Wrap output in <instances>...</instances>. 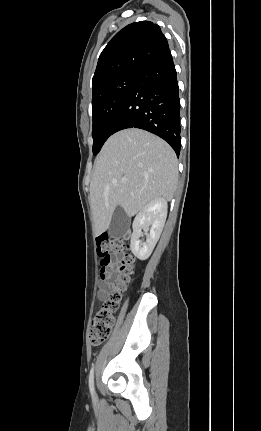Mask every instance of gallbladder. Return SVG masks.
<instances>
[{"instance_id":"obj_1","label":"gallbladder","mask_w":261,"mask_h":431,"mask_svg":"<svg viewBox=\"0 0 261 431\" xmlns=\"http://www.w3.org/2000/svg\"><path fill=\"white\" fill-rule=\"evenodd\" d=\"M129 228V217L124 211V209L118 206L112 216L110 226H109V234L112 237H121L123 236Z\"/></svg>"}]
</instances>
